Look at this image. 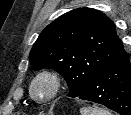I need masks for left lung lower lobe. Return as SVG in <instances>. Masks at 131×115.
I'll use <instances>...</instances> for the list:
<instances>
[{"label": "left lung lower lobe", "mask_w": 131, "mask_h": 115, "mask_svg": "<svg viewBox=\"0 0 131 115\" xmlns=\"http://www.w3.org/2000/svg\"><path fill=\"white\" fill-rule=\"evenodd\" d=\"M105 105L121 115H131V64L125 53L116 63L100 72L77 96Z\"/></svg>", "instance_id": "obj_1"}]
</instances>
